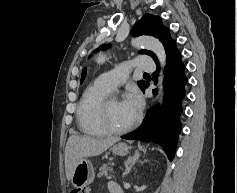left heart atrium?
<instances>
[{"label":"left heart atrium","mask_w":237,"mask_h":193,"mask_svg":"<svg viewBox=\"0 0 237 193\" xmlns=\"http://www.w3.org/2000/svg\"><path fill=\"white\" fill-rule=\"evenodd\" d=\"M123 104L129 111L132 120H136L143 106L142 97L139 92L137 90H131L123 101Z\"/></svg>","instance_id":"left-heart-atrium-1"}]
</instances>
